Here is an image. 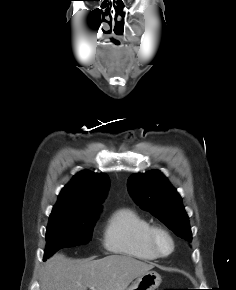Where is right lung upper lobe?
Returning <instances> with one entry per match:
<instances>
[{
  "mask_svg": "<svg viewBox=\"0 0 236 290\" xmlns=\"http://www.w3.org/2000/svg\"><path fill=\"white\" fill-rule=\"evenodd\" d=\"M109 177L81 171L62 189L51 215L81 216L99 213L109 189Z\"/></svg>",
  "mask_w": 236,
  "mask_h": 290,
  "instance_id": "cb5924a9",
  "label": "right lung upper lobe"
}]
</instances>
